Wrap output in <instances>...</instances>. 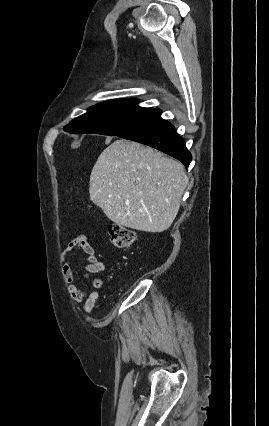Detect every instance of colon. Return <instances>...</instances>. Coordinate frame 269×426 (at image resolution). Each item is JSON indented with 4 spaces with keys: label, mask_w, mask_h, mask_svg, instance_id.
<instances>
[{
    "label": "colon",
    "mask_w": 269,
    "mask_h": 426,
    "mask_svg": "<svg viewBox=\"0 0 269 426\" xmlns=\"http://www.w3.org/2000/svg\"><path fill=\"white\" fill-rule=\"evenodd\" d=\"M109 238L115 247L130 248L135 243L136 234L127 227L112 225L109 228Z\"/></svg>",
    "instance_id": "obj_1"
}]
</instances>
